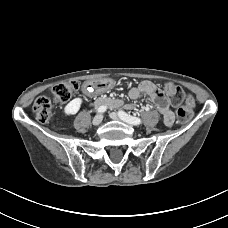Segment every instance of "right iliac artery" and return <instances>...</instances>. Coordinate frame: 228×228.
Here are the masks:
<instances>
[{"label": "right iliac artery", "mask_w": 228, "mask_h": 228, "mask_svg": "<svg viewBox=\"0 0 228 228\" xmlns=\"http://www.w3.org/2000/svg\"><path fill=\"white\" fill-rule=\"evenodd\" d=\"M106 109H107L106 106H100V107L97 109V112H98V113H103V112L106 111Z\"/></svg>", "instance_id": "1"}]
</instances>
